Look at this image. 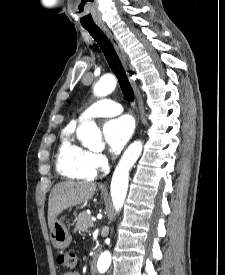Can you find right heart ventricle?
I'll return each instance as SVG.
<instances>
[{
	"label": "right heart ventricle",
	"mask_w": 225,
	"mask_h": 275,
	"mask_svg": "<svg viewBox=\"0 0 225 275\" xmlns=\"http://www.w3.org/2000/svg\"><path fill=\"white\" fill-rule=\"evenodd\" d=\"M56 166L59 173L70 179H92L97 174L90 161V152L72 142L67 135L58 149Z\"/></svg>",
	"instance_id": "e07e8e85"
}]
</instances>
